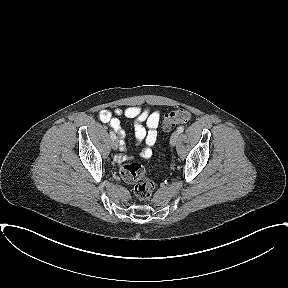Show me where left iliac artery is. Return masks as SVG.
<instances>
[{
  "label": "left iliac artery",
  "mask_w": 288,
  "mask_h": 288,
  "mask_svg": "<svg viewBox=\"0 0 288 288\" xmlns=\"http://www.w3.org/2000/svg\"><path fill=\"white\" fill-rule=\"evenodd\" d=\"M184 131V126H179L177 129L178 133H182Z\"/></svg>",
  "instance_id": "obj_1"
}]
</instances>
